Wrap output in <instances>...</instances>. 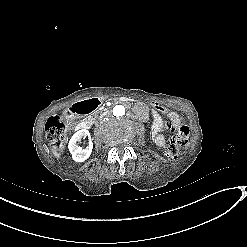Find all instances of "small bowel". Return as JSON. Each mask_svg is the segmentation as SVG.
Returning <instances> with one entry per match:
<instances>
[{
	"instance_id": "1",
	"label": "small bowel",
	"mask_w": 247,
	"mask_h": 247,
	"mask_svg": "<svg viewBox=\"0 0 247 247\" xmlns=\"http://www.w3.org/2000/svg\"><path fill=\"white\" fill-rule=\"evenodd\" d=\"M153 114V113H152ZM169 118H170V121L172 122L173 126L175 129H179L182 125L181 123V119L179 117V115L175 112H171L169 113ZM153 118L155 121H159L160 120V117L159 116H156L153 114ZM154 141H155V144L159 147V148H164L165 145H166V139L164 137V135L160 132H157L154 136Z\"/></svg>"
}]
</instances>
